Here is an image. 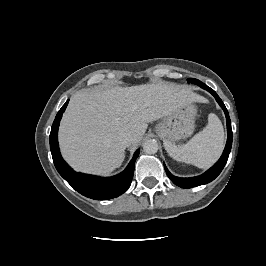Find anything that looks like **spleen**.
Listing matches in <instances>:
<instances>
[{
    "mask_svg": "<svg viewBox=\"0 0 266 266\" xmlns=\"http://www.w3.org/2000/svg\"><path fill=\"white\" fill-rule=\"evenodd\" d=\"M168 154L179 162L192 164L198 168L210 167L221 155L224 147V130L219 118L208 115L206 127L194 135L187 144L177 146L164 144Z\"/></svg>",
    "mask_w": 266,
    "mask_h": 266,
    "instance_id": "1",
    "label": "spleen"
}]
</instances>
